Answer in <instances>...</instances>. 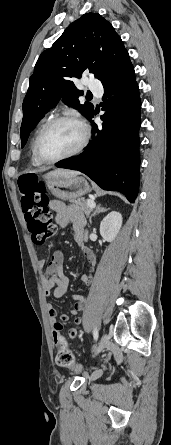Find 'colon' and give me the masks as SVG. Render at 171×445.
Wrapping results in <instances>:
<instances>
[{
  "label": "colon",
  "mask_w": 171,
  "mask_h": 445,
  "mask_svg": "<svg viewBox=\"0 0 171 445\" xmlns=\"http://www.w3.org/2000/svg\"><path fill=\"white\" fill-rule=\"evenodd\" d=\"M18 190L21 208L32 239L37 245H45L56 233L46 186L35 176L27 175L18 181ZM56 362L62 367L79 369L63 336L56 342Z\"/></svg>",
  "instance_id": "1"
}]
</instances>
